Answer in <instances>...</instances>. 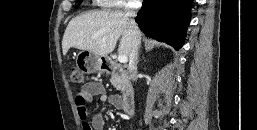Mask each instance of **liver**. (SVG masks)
Returning <instances> with one entry per match:
<instances>
[{
  "instance_id": "liver-1",
  "label": "liver",
  "mask_w": 257,
  "mask_h": 130,
  "mask_svg": "<svg viewBox=\"0 0 257 130\" xmlns=\"http://www.w3.org/2000/svg\"><path fill=\"white\" fill-rule=\"evenodd\" d=\"M120 37L118 53L129 57L132 40L128 19L124 13H84L73 18L67 25L62 40L63 55L73 47L105 57L114 50Z\"/></svg>"
}]
</instances>
